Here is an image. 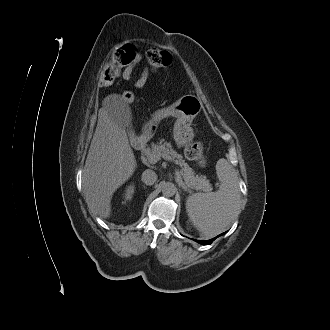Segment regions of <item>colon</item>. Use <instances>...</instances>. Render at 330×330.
<instances>
[{
    "instance_id": "obj_1",
    "label": "colon",
    "mask_w": 330,
    "mask_h": 330,
    "mask_svg": "<svg viewBox=\"0 0 330 330\" xmlns=\"http://www.w3.org/2000/svg\"><path fill=\"white\" fill-rule=\"evenodd\" d=\"M135 54L136 50L133 44H125L117 48L101 71V83L104 85L112 83L121 70L133 62ZM145 56L147 63L152 70L166 68L170 66L172 62V56L169 52L157 48L148 49ZM121 98L126 103H132L134 101V95L131 91L123 92ZM185 153L189 159L196 161L201 167L206 165L207 159L204 154L202 143L192 142L188 144Z\"/></svg>"
}]
</instances>
